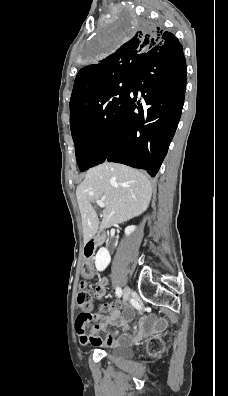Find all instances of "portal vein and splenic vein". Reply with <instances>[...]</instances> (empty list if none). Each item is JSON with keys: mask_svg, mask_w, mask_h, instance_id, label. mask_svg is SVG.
Listing matches in <instances>:
<instances>
[{"mask_svg": "<svg viewBox=\"0 0 228 396\" xmlns=\"http://www.w3.org/2000/svg\"><path fill=\"white\" fill-rule=\"evenodd\" d=\"M96 203H97V205H98L100 208H104V207H105V204H104V202H103L102 200H97Z\"/></svg>", "mask_w": 228, "mask_h": 396, "instance_id": "portal-vein-and-splenic-vein-1", "label": "portal vein and splenic vein"}]
</instances>
